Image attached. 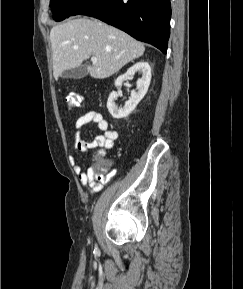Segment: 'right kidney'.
<instances>
[{"label":"right kidney","mask_w":243,"mask_h":289,"mask_svg":"<svg viewBox=\"0 0 243 289\" xmlns=\"http://www.w3.org/2000/svg\"><path fill=\"white\" fill-rule=\"evenodd\" d=\"M136 72L142 74V77L137 81V91L131 93V97L128 101L125 102L124 107L118 108L115 104V100L118 98V93L113 91L108 98L107 108L109 113L117 119L127 117L138 105V103L143 99L147 93L148 87L151 81V67L145 61H140L135 63L130 67L127 72L123 75H120L116 81L115 86L121 87L124 80L127 78L133 77Z\"/></svg>","instance_id":"right-kidney-1"}]
</instances>
